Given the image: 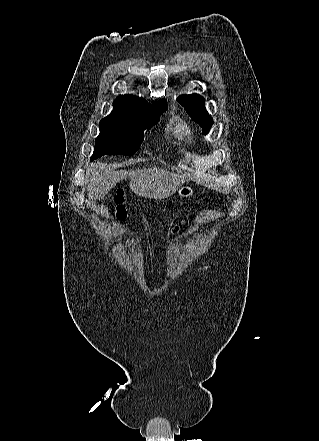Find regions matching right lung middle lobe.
<instances>
[{
	"label": "right lung middle lobe",
	"mask_w": 319,
	"mask_h": 441,
	"mask_svg": "<svg viewBox=\"0 0 319 441\" xmlns=\"http://www.w3.org/2000/svg\"><path fill=\"white\" fill-rule=\"evenodd\" d=\"M167 109L112 111L99 124L100 134L95 142L91 161L102 155H132L140 147L145 129L157 124Z\"/></svg>",
	"instance_id": "1"
}]
</instances>
